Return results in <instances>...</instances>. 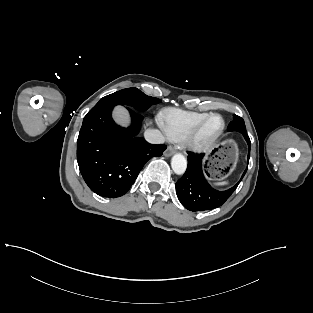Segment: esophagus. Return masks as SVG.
<instances>
[{"label": "esophagus", "instance_id": "esophagus-1", "mask_svg": "<svg viewBox=\"0 0 313 313\" xmlns=\"http://www.w3.org/2000/svg\"><path fill=\"white\" fill-rule=\"evenodd\" d=\"M175 151H176V148H175V147L169 146V147L166 149V151L164 152V155H165L166 157H170V156H172V155L175 153Z\"/></svg>", "mask_w": 313, "mask_h": 313}]
</instances>
